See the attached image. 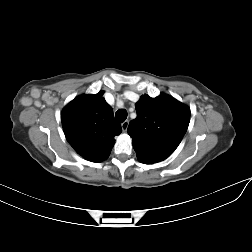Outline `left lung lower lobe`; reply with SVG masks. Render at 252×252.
Segmentation results:
<instances>
[{"label":"left lung lower lobe","instance_id":"obj_1","mask_svg":"<svg viewBox=\"0 0 252 252\" xmlns=\"http://www.w3.org/2000/svg\"><path fill=\"white\" fill-rule=\"evenodd\" d=\"M140 162L144 163V164H153L154 162H150L147 160H143V159H138Z\"/></svg>","mask_w":252,"mask_h":252}]
</instances>
